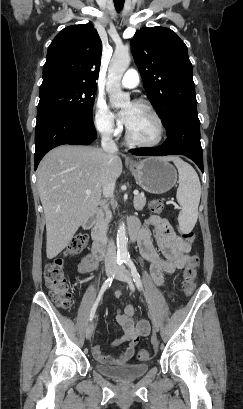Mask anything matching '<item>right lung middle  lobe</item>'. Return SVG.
I'll return each mask as SVG.
<instances>
[{
	"label": "right lung middle lobe",
	"instance_id": "dd1d6c3e",
	"mask_svg": "<svg viewBox=\"0 0 243 409\" xmlns=\"http://www.w3.org/2000/svg\"><path fill=\"white\" fill-rule=\"evenodd\" d=\"M96 88L67 79H46L40 87L37 119L62 114L92 120Z\"/></svg>",
	"mask_w": 243,
	"mask_h": 409
}]
</instances>
